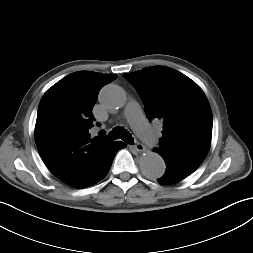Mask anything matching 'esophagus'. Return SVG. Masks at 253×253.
<instances>
[{"instance_id": "1", "label": "esophagus", "mask_w": 253, "mask_h": 253, "mask_svg": "<svg viewBox=\"0 0 253 253\" xmlns=\"http://www.w3.org/2000/svg\"><path fill=\"white\" fill-rule=\"evenodd\" d=\"M133 148L137 151V152H144L145 151V147L143 144L137 142L135 145H133Z\"/></svg>"}]
</instances>
